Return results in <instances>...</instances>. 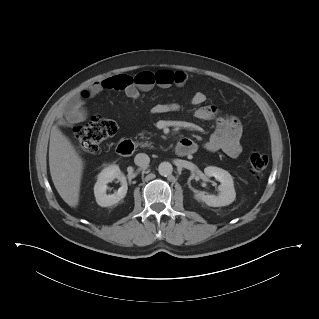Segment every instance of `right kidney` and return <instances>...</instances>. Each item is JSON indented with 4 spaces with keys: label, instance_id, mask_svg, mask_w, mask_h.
I'll return each mask as SVG.
<instances>
[{
    "label": "right kidney",
    "instance_id": "1",
    "mask_svg": "<svg viewBox=\"0 0 319 319\" xmlns=\"http://www.w3.org/2000/svg\"><path fill=\"white\" fill-rule=\"evenodd\" d=\"M114 179L121 182V187L113 194H106L107 184ZM128 185L124 174L118 165H109L105 167L99 174L97 182L94 186V195L98 205L107 207L118 203L127 193Z\"/></svg>",
    "mask_w": 319,
    "mask_h": 319
}]
</instances>
